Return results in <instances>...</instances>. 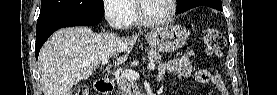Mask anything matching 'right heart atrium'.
Here are the masks:
<instances>
[{"label": "right heart atrium", "mask_w": 277, "mask_h": 95, "mask_svg": "<svg viewBox=\"0 0 277 95\" xmlns=\"http://www.w3.org/2000/svg\"><path fill=\"white\" fill-rule=\"evenodd\" d=\"M102 9L109 24L115 28H122L129 16L126 0H103Z\"/></svg>", "instance_id": "obj_1"}]
</instances>
